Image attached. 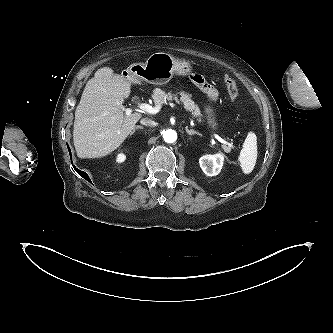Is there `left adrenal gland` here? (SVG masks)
Segmentation results:
<instances>
[{
  "label": "left adrenal gland",
  "mask_w": 333,
  "mask_h": 333,
  "mask_svg": "<svg viewBox=\"0 0 333 333\" xmlns=\"http://www.w3.org/2000/svg\"><path fill=\"white\" fill-rule=\"evenodd\" d=\"M185 129H186V132H187L188 135L197 134V135H199V136H202L201 133H199V132H197V131H195V130H193V129H188V127H186Z\"/></svg>",
  "instance_id": "1"
}]
</instances>
